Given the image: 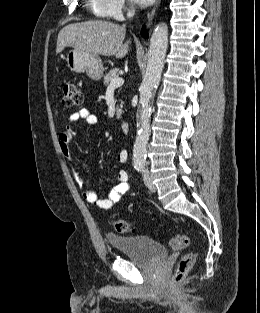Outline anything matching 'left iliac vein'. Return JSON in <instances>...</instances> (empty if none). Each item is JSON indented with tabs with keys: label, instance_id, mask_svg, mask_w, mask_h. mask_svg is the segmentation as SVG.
I'll return each instance as SVG.
<instances>
[{
	"label": "left iliac vein",
	"instance_id": "1",
	"mask_svg": "<svg viewBox=\"0 0 260 313\" xmlns=\"http://www.w3.org/2000/svg\"><path fill=\"white\" fill-rule=\"evenodd\" d=\"M143 180L144 183L146 185V187L151 191V192H155L156 191V187L152 182V179L150 177L149 171L148 170H144L143 171Z\"/></svg>",
	"mask_w": 260,
	"mask_h": 313
}]
</instances>
